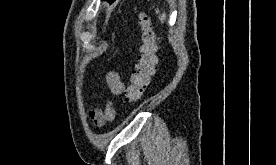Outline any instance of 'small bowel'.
<instances>
[{
	"label": "small bowel",
	"instance_id": "1",
	"mask_svg": "<svg viewBox=\"0 0 276 165\" xmlns=\"http://www.w3.org/2000/svg\"><path fill=\"white\" fill-rule=\"evenodd\" d=\"M106 82L109 88V91L113 95H121L125 91V84L121 80L118 73L114 71H109L106 74ZM115 111L108 105L104 110L93 109L89 112L90 119L97 125L102 126L108 121L114 119Z\"/></svg>",
	"mask_w": 276,
	"mask_h": 165
}]
</instances>
